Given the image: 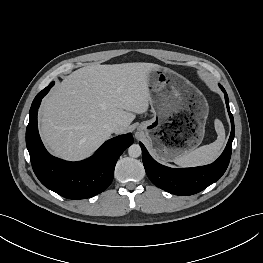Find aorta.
Wrapping results in <instances>:
<instances>
[{
    "label": "aorta",
    "instance_id": "aorta-1",
    "mask_svg": "<svg viewBox=\"0 0 263 263\" xmlns=\"http://www.w3.org/2000/svg\"><path fill=\"white\" fill-rule=\"evenodd\" d=\"M141 153H142V150L138 144H132L128 148V154L130 157L137 158L141 155Z\"/></svg>",
    "mask_w": 263,
    "mask_h": 263
}]
</instances>
